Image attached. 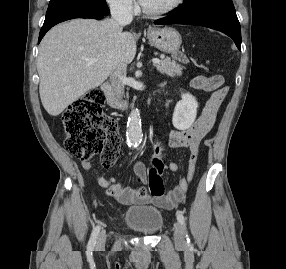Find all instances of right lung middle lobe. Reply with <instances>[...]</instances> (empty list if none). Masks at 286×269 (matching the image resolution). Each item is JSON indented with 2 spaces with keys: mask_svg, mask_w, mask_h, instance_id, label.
Instances as JSON below:
<instances>
[{
  "mask_svg": "<svg viewBox=\"0 0 286 269\" xmlns=\"http://www.w3.org/2000/svg\"><path fill=\"white\" fill-rule=\"evenodd\" d=\"M77 11L110 13L105 0H50L45 21Z\"/></svg>",
  "mask_w": 286,
  "mask_h": 269,
  "instance_id": "right-lung-middle-lobe-1",
  "label": "right lung middle lobe"
}]
</instances>
